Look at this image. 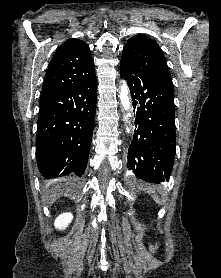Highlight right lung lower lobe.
<instances>
[{
	"label": "right lung lower lobe",
	"instance_id": "obj_1",
	"mask_svg": "<svg viewBox=\"0 0 221 278\" xmlns=\"http://www.w3.org/2000/svg\"><path fill=\"white\" fill-rule=\"evenodd\" d=\"M96 75L40 95L36 137L38 168L50 182L84 173L95 124Z\"/></svg>",
	"mask_w": 221,
	"mask_h": 278
}]
</instances>
